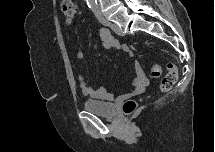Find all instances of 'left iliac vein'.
<instances>
[{
  "label": "left iliac vein",
  "instance_id": "1",
  "mask_svg": "<svg viewBox=\"0 0 215 152\" xmlns=\"http://www.w3.org/2000/svg\"><path fill=\"white\" fill-rule=\"evenodd\" d=\"M109 25L114 33H116L117 35H123V32L117 24L109 22Z\"/></svg>",
  "mask_w": 215,
  "mask_h": 152
}]
</instances>
